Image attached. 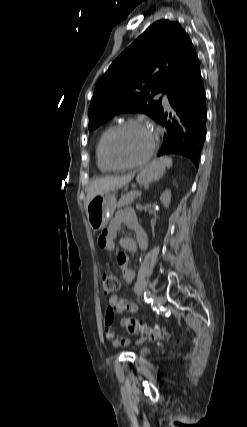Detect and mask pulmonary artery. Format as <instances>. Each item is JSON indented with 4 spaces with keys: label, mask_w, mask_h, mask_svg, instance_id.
I'll return each instance as SVG.
<instances>
[{
    "label": "pulmonary artery",
    "mask_w": 247,
    "mask_h": 427,
    "mask_svg": "<svg viewBox=\"0 0 247 427\" xmlns=\"http://www.w3.org/2000/svg\"><path fill=\"white\" fill-rule=\"evenodd\" d=\"M158 97L162 98V102L166 107H169V101H168V97L166 94L160 93L158 94Z\"/></svg>",
    "instance_id": "1"
}]
</instances>
